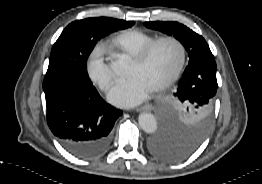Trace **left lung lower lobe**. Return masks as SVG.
<instances>
[{
	"label": "left lung lower lobe",
	"instance_id": "0a47b994",
	"mask_svg": "<svg viewBox=\"0 0 262 184\" xmlns=\"http://www.w3.org/2000/svg\"><path fill=\"white\" fill-rule=\"evenodd\" d=\"M204 62L216 64L214 58L207 59ZM200 143L177 139L169 135L165 129H162L157 136L149 141L148 149L159 160L177 162L192 155Z\"/></svg>",
	"mask_w": 262,
	"mask_h": 184
}]
</instances>
